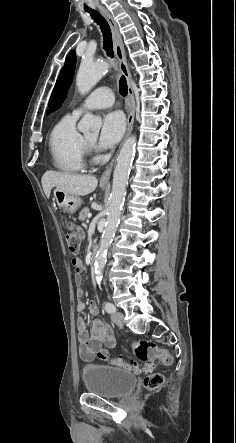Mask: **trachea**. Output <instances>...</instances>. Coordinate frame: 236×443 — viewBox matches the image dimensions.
Masks as SVG:
<instances>
[{
    "mask_svg": "<svg viewBox=\"0 0 236 443\" xmlns=\"http://www.w3.org/2000/svg\"><path fill=\"white\" fill-rule=\"evenodd\" d=\"M94 21L100 26L103 34V48L110 57H114L112 49V34L108 22L100 15L96 10L87 9ZM119 91L122 96H126L128 93L127 81L124 76L119 80Z\"/></svg>",
    "mask_w": 236,
    "mask_h": 443,
    "instance_id": "obj_1",
    "label": "trachea"
}]
</instances>
